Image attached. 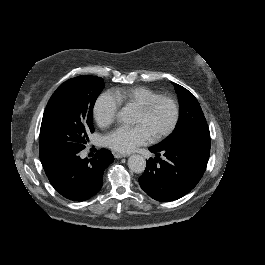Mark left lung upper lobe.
Here are the masks:
<instances>
[{
  "instance_id": "left-lung-upper-lobe-1",
  "label": "left lung upper lobe",
  "mask_w": 265,
  "mask_h": 265,
  "mask_svg": "<svg viewBox=\"0 0 265 265\" xmlns=\"http://www.w3.org/2000/svg\"><path fill=\"white\" fill-rule=\"evenodd\" d=\"M173 85L179 98V120L173 133L154 146L157 148L177 144L189 138H210L208 125L197 99L184 87L176 83Z\"/></svg>"
}]
</instances>
